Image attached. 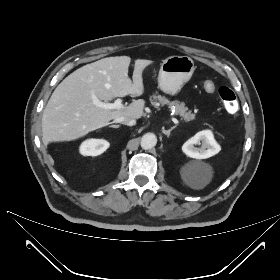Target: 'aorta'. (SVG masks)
<instances>
[{
  "mask_svg": "<svg viewBox=\"0 0 280 280\" xmlns=\"http://www.w3.org/2000/svg\"><path fill=\"white\" fill-rule=\"evenodd\" d=\"M157 143V137L153 133H146L142 136L140 145L142 149L149 150L153 148Z\"/></svg>",
  "mask_w": 280,
  "mask_h": 280,
  "instance_id": "aorta-1",
  "label": "aorta"
}]
</instances>
